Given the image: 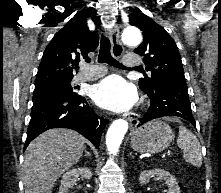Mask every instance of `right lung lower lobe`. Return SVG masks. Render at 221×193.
<instances>
[{"mask_svg":"<svg viewBox=\"0 0 221 193\" xmlns=\"http://www.w3.org/2000/svg\"><path fill=\"white\" fill-rule=\"evenodd\" d=\"M108 120L97 116L84 97H47L33 101L24 150L38 135L51 128H70L99 148Z\"/></svg>","mask_w":221,"mask_h":193,"instance_id":"98d812e1","label":"right lung lower lobe"}]
</instances>
